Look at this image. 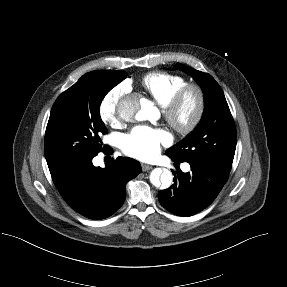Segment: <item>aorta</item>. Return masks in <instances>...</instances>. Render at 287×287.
Here are the masks:
<instances>
[{
	"mask_svg": "<svg viewBox=\"0 0 287 287\" xmlns=\"http://www.w3.org/2000/svg\"><path fill=\"white\" fill-rule=\"evenodd\" d=\"M154 111L153 103L137 94L125 97L118 107L119 116L125 121L150 119ZM150 182L157 188L167 189L173 183V174L168 169L155 168L150 173Z\"/></svg>",
	"mask_w": 287,
	"mask_h": 287,
	"instance_id": "762f6f07",
	"label": "aorta"
}]
</instances>
